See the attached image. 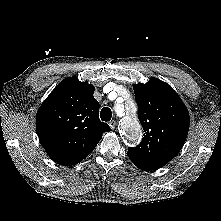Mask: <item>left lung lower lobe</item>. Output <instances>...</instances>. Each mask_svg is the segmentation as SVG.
Returning a JSON list of instances; mask_svg holds the SVG:
<instances>
[{"mask_svg": "<svg viewBox=\"0 0 221 221\" xmlns=\"http://www.w3.org/2000/svg\"><path fill=\"white\" fill-rule=\"evenodd\" d=\"M129 158L138 168H140L141 170H144V171L156 170V169L160 168L159 166L153 165L151 163L140 161V160L134 159L132 157H129Z\"/></svg>", "mask_w": 221, "mask_h": 221, "instance_id": "left-lung-lower-lobe-1", "label": "left lung lower lobe"}]
</instances>
